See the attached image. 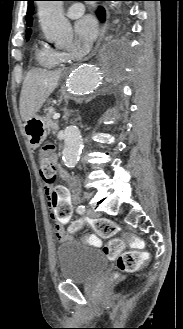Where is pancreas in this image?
<instances>
[{"instance_id": "pancreas-1", "label": "pancreas", "mask_w": 183, "mask_h": 329, "mask_svg": "<svg viewBox=\"0 0 183 329\" xmlns=\"http://www.w3.org/2000/svg\"><path fill=\"white\" fill-rule=\"evenodd\" d=\"M54 114V112H49L48 114H47V116L45 117V122H46V127H47V129L48 130H52V132L55 134L57 131H58V129H59V126H58V123L57 122H55V121H53L52 119H51V117H52V115Z\"/></svg>"}]
</instances>
